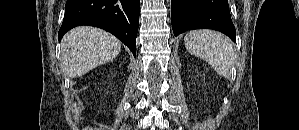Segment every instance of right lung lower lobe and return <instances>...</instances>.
Segmentation results:
<instances>
[{"instance_id": "98d812e1", "label": "right lung lower lobe", "mask_w": 299, "mask_h": 130, "mask_svg": "<svg viewBox=\"0 0 299 130\" xmlns=\"http://www.w3.org/2000/svg\"><path fill=\"white\" fill-rule=\"evenodd\" d=\"M140 0H67L58 39L79 25L102 28L120 39L136 56Z\"/></svg>"}]
</instances>
